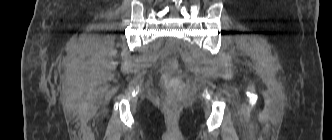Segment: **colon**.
Masks as SVG:
<instances>
[{
	"mask_svg": "<svg viewBox=\"0 0 332 140\" xmlns=\"http://www.w3.org/2000/svg\"><path fill=\"white\" fill-rule=\"evenodd\" d=\"M176 62L171 61L167 65V70L163 76V84L166 89V95L162 104L168 113H174L178 108L183 93V84L175 76Z\"/></svg>",
	"mask_w": 332,
	"mask_h": 140,
	"instance_id": "1",
	"label": "colon"
}]
</instances>
